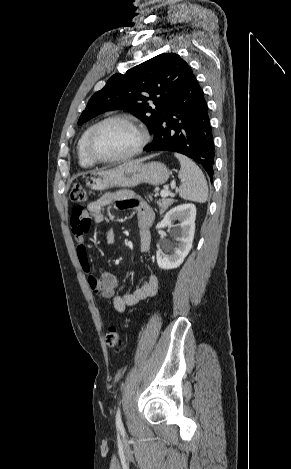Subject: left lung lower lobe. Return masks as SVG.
I'll return each instance as SVG.
<instances>
[{"mask_svg":"<svg viewBox=\"0 0 291 469\" xmlns=\"http://www.w3.org/2000/svg\"><path fill=\"white\" fill-rule=\"evenodd\" d=\"M145 151L184 154L200 164L212 179L215 148L204 93L193 75L168 104L164 118Z\"/></svg>","mask_w":291,"mask_h":469,"instance_id":"0a47b994","label":"left lung lower lobe"}]
</instances>
